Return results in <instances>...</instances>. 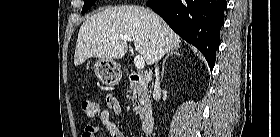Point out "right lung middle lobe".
Here are the masks:
<instances>
[{"mask_svg": "<svg viewBox=\"0 0 280 137\" xmlns=\"http://www.w3.org/2000/svg\"><path fill=\"white\" fill-rule=\"evenodd\" d=\"M97 0H84V6L82 8V13L87 12Z\"/></svg>", "mask_w": 280, "mask_h": 137, "instance_id": "obj_1", "label": "right lung middle lobe"}]
</instances>
